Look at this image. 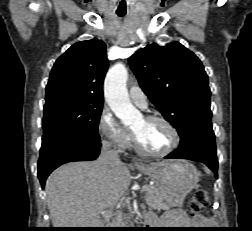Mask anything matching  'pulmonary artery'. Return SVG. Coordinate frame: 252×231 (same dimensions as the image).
Listing matches in <instances>:
<instances>
[{
    "label": "pulmonary artery",
    "mask_w": 252,
    "mask_h": 231,
    "mask_svg": "<svg viewBox=\"0 0 252 231\" xmlns=\"http://www.w3.org/2000/svg\"><path fill=\"white\" fill-rule=\"evenodd\" d=\"M129 96L134 104L141 108H146L147 97L139 86L133 85L129 88Z\"/></svg>",
    "instance_id": "e3ab8cb5"
}]
</instances>
